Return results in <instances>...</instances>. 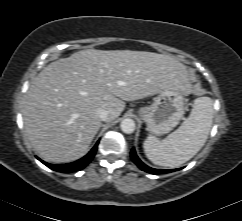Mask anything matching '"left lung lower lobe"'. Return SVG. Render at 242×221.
<instances>
[{"instance_id": "1", "label": "left lung lower lobe", "mask_w": 242, "mask_h": 221, "mask_svg": "<svg viewBox=\"0 0 242 221\" xmlns=\"http://www.w3.org/2000/svg\"><path fill=\"white\" fill-rule=\"evenodd\" d=\"M131 158L133 160V162L143 171L151 173V174H161V173H169V172H173L179 169H170V170H163V169H154L151 168L147 165H145L136 155L135 149L133 148L131 150Z\"/></svg>"}]
</instances>
